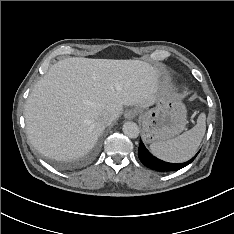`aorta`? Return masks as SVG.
Instances as JSON below:
<instances>
[{"label":"aorta","instance_id":"762f6f07","mask_svg":"<svg viewBox=\"0 0 234 234\" xmlns=\"http://www.w3.org/2000/svg\"><path fill=\"white\" fill-rule=\"evenodd\" d=\"M123 133L129 138H137L140 130L138 125L135 122L127 121L123 124Z\"/></svg>","mask_w":234,"mask_h":234}]
</instances>
